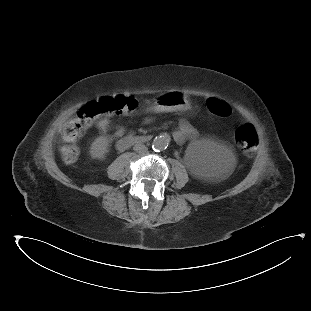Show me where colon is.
<instances>
[{
  "mask_svg": "<svg viewBox=\"0 0 311 311\" xmlns=\"http://www.w3.org/2000/svg\"><path fill=\"white\" fill-rule=\"evenodd\" d=\"M204 104L207 108H214L215 112L225 119L231 118L235 110L230 105L222 102L217 103L216 99L209 96ZM135 107V99L131 96H110L106 100L95 102L92 105L84 106L80 114L65 127L66 134L71 138H76L88 130L95 119L107 116H115L119 112L131 113ZM238 139L245 150L255 149L259 143L260 135L257 128L250 124H244L238 131ZM59 154L62 161L67 165L75 164L78 161L80 149L77 144L64 142L59 145Z\"/></svg>",
  "mask_w": 311,
  "mask_h": 311,
  "instance_id": "colon-1",
  "label": "colon"
}]
</instances>
